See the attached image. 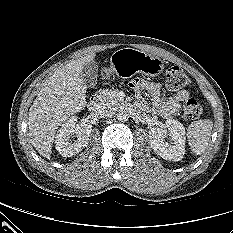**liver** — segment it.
Here are the masks:
<instances>
[{"instance_id": "obj_1", "label": "liver", "mask_w": 233, "mask_h": 233, "mask_svg": "<svg viewBox=\"0 0 233 233\" xmlns=\"http://www.w3.org/2000/svg\"><path fill=\"white\" fill-rule=\"evenodd\" d=\"M94 52L72 60L46 79L30 107L29 137L36 150L47 159L58 127L86 105L87 86L81 77L84 65L95 58Z\"/></svg>"}]
</instances>
